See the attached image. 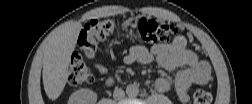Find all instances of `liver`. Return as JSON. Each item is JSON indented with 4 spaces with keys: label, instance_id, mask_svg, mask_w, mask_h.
Returning a JSON list of instances; mask_svg holds the SVG:
<instances>
[{
    "label": "liver",
    "instance_id": "1",
    "mask_svg": "<svg viewBox=\"0 0 252 104\" xmlns=\"http://www.w3.org/2000/svg\"><path fill=\"white\" fill-rule=\"evenodd\" d=\"M82 25L78 22L59 29L52 37L44 54L43 85L46 95L56 100L67 79L71 54L75 49Z\"/></svg>",
    "mask_w": 252,
    "mask_h": 104
}]
</instances>
